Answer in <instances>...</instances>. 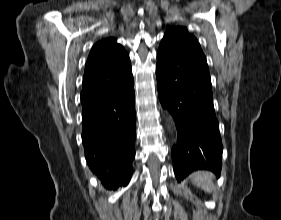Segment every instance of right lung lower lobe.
Segmentation results:
<instances>
[{
  "label": "right lung lower lobe",
  "instance_id": "right-lung-lower-lobe-1",
  "mask_svg": "<svg viewBox=\"0 0 281 220\" xmlns=\"http://www.w3.org/2000/svg\"><path fill=\"white\" fill-rule=\"evenodd\" d=\"M87 164L107 188L129 183L135 156L133 78L121 87L81 97Z\"/></svg>",
  "mask_w": 281,
  "mask_h": 220
}]
</instances>
